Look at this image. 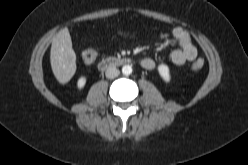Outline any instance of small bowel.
Returning <instances> with one entry per match:
<instances>
[{
    "instance_id": "c3829d8e",
    "label": "small bowel",
    "mask_w": 248,
    "mask_h": 165,
    "mask_svg": "<svg viewBox=\"0 0 248 165\" xmlns=\"http://www.w3.org/2000/svg\"><path fill=\"white\" fill-rule=\"evenodd\" d=\"M117 36L125 40H134L135 35L127 31L117 32ZM171 36L176 40L178 48L171 52L170 60L176 66H181L186 62L194 61L197 58V49L193 45L189 33L183 28H174L171 32ZM141 66L146 70H155L157 63L149 57L141 60Z\"/></svg>"
}]
</instances>
